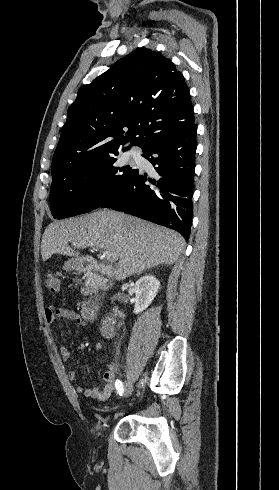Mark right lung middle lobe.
Returning <instances> with one entry per match:
<instances>
[{"label": "right lung middle lobe", "mask_w": 279, "mask_h": 490, "mask_svg": "<svg viewBox=\"0 0 279 490\" xmlns=\"http://www.w3.org/2000/svg\"><path fill=\"white\" fill-rule=\"evenodd\" d=\"M117 155L118 150H112L65 176L53 178L50 190L53 217L63 219L99 208L139 173L130 165L122 166Z\"/></svg>", "instance_id": "dd1d6c3e"}]
</instances>
